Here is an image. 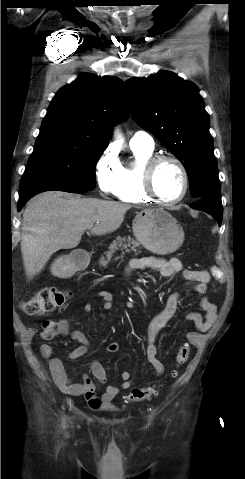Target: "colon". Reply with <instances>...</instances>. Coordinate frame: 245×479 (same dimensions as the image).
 Masks as SVG:
<instances>
[{
  "label": "colon",
  "mask_w": 245,
  "mask_h": 479,
  "mask_svg": "<svg viewBox=\"0 0 245 479\" xmlns=\"http://www.w3.org/2000/svg\"><path fill=\"white\" fill-rule=\"evenodd\" d=\"M212 274L220 278L221 272L217 267H212ZM71 297V292L67 289L58 287H44L39 289L32 297L26 299L21 304L23 312L29 316H39L52 312L62 307ZM59 333L58 322L46 320L42 323L41 335L45 339H51ZM190 354V347L187 343H182L175 356L177 367L183 366ZM172 377L177 376V371L171 373ZM157 393L154 387H143L132 390L126 397L127 402H136L150 399Z\"/></svg>",
  "instance_id": "obj_1"
}]
</instances>
